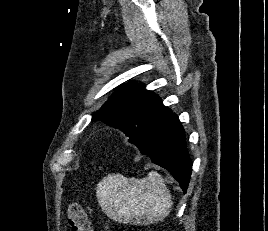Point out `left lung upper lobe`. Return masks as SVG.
I'll return each instance as SVG.
<instances>
[{
  "label": "left lung upper lobe",
  "instance_id": "5c2ea615",
  "mask_svg": "<svg viewBox=\"0 0 268 231\" xmlns=\"http://www.w3.org/2000/svg\"><path fill=\"white\" fill-rule=\"evenodd\" d=\"M172 111L142 84L117 91L92 117L123 131L133 144L146 139Z\"/></svg>",
  "mask_w": 268,
  "mask_h": 231
}]
</instances>
